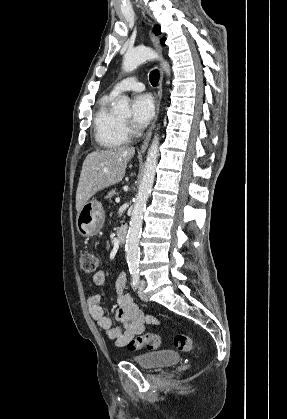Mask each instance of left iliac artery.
I'll use <instances>...</instances> for the list:
<instances>
[{"label": "left iliac artery", "instance_id": "1", "mask_svg": "<svg viewBox=\"0 0 287 419\" xmlns=\"http://www.w3.org/2000/svg\"><path fill=\"white\" fill-rule=\"evenodd\" d=\"M130 273H131L132 284L136 288L140 282L139 270H131Z\"/></svg>", "mask_w": 287, "mask_h": 419}]
</instances>
